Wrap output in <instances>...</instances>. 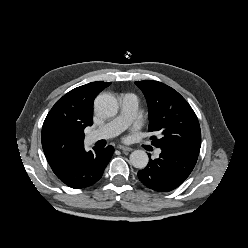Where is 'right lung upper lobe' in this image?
Returning a JSON list of instances; mask_svg holds the SVG:
<instances>
[{"label": "right lung upper lobe", "mask_w": 248, "mask_h": 248, "mask_svg": "<svg viewBox=\"0 0 248 248\" xmlns=\"http://www.w3.org/2000/svg\"><path fill=\"white\" fill-rule=\"evenodd\" d=\"M111 83L92 82L77 87L59 99L42 127V147L56 174L84 150V129L92 125L95 97Z\"/></svg>", "instance_id": "cb5924a9"}]
</instances>
